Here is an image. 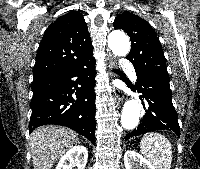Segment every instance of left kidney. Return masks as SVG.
Segmentation results:
<instances>
[{
    "instance_id": "5707ae66",
    "label": "left kidney",
    "mask_w": 200,
    "mask_h": 169,
    "mask_svg": "<svg viewBox=\"0 0 200 169\" xmlns=\"http://www.w3.org/2000/svg\"><path fill=\"white\" fill-rule=\"evenodd\" d=\"M124 164L125 169H156L149 160L132 150L125 153Z\"/></svg>"
}]
</instances>
